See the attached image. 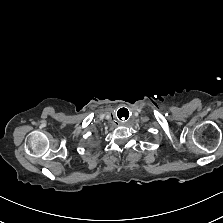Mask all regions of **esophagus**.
<instances>
[{
  "label": "esophagus",
  "mask_w": 223,
  "mask_h": 223,
  "mask_svg": "<svg viewBox=\"0 0 223 223\" xmlns=\"http://www.w3.org/2000/svg\"><path fill=\"white\" fill-rule=\"evenodd\" d=\"M115 117L118 122L125 124V123L129 122L131 115L127 109L121 108V109L117 110Z\"/></svg>",
  "instance_id": "esophagus-1"
}]
</instances>
